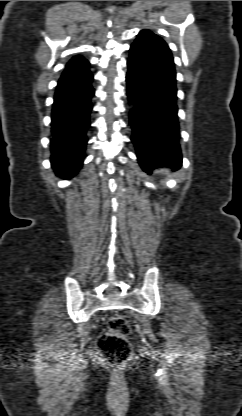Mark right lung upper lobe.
Returning <instances> with one entry per match:
<instances>
[{
  "mask_svg": "<svg viewBox=\"0 0 242 416\" xmlns=\"http://www.w3.org/2000/svg\"><path fill=\"white\" fill-rule=\"evenodd\" d=\"M89 62L82 56L73 57L67 64L66 70L73 72V75L81 74L88 70Z\"/></svg>",
  "mask_w": 242,
  "mask_h": 416,
  "instance_id": "cb5924a9",
  "label": "right lung upper lobe"
}]
</instances>
